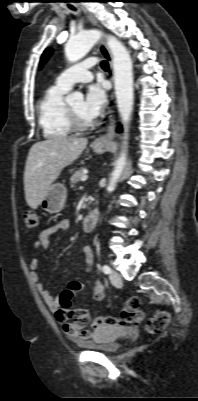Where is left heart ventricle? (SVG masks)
I'll return each instance as SVG.
<instances>
[{
    "label": "left heart ventricle",
    "mask_w": 198,
    "mask_h": 401,
    "mask_svg": "<svg viewBox=\"0 0 198 401\" xmlns=\"http://www.w3.org/2000/svg\"><path fill=\"white\" fill-rule=\"evenodd\" d=\"M70 107L75 111V113L80 117V119L84 122H89L92 121L89 117H87L84 113V108H83V101L79 100L74 102L73 104L70 105Z\"/></svg>",
    "instance_id": "obj_1"
}]
</instances>
